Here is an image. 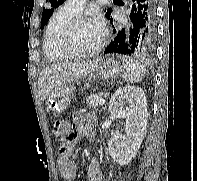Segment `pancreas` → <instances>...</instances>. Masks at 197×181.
Instances as JSON below:
<instances>
[{"label":"pancreas","mask_w":197,"mask_h":181,"mask_svg":"<svg viewBox=\"0 0 197 181\" xmlns=\"http://www.w3.org/2000/svg\"><path fill=\"white\" fill-rule=\"evenodd\" d=\"M101 99H103L102 93H94L85 99V103L90 108H97Z\"/></svg>","instance_id":"cf45deb5"}]
</instances>
